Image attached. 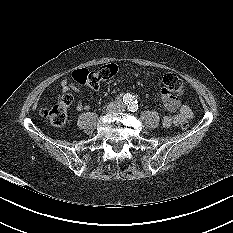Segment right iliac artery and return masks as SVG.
<instances>
[{"label":"right iliac artery","mask_w":233,"mask_h":233,"mask_svg":"<svg viewBox=\"0 0 233 233\" xmlns=\"http://www.w3.org/2000/svg\"><path fill=\"white\" fill-rule=\"evenodd\" d=\"M123 101H124L125 104L130 103V101H131V96L128 95V94H127V95H124Z\"/></svg>","instance_id":"1"}]
</instances>
